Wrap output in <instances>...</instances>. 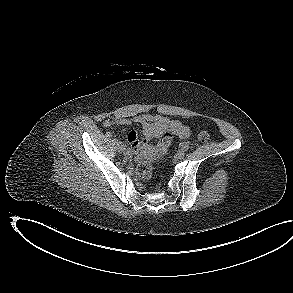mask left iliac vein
Wrapping results in <instances>:
<instances>
[{
  "mask_svg": "<svg viewBox=\"0 0 293 293\" xmlns=\"http://www.w3.org/2000/svg\"><path fill=\"white\" fill-rule=\"evenodd\" d=\"M184 156H185L184 151H178L177 154H176V157H177L178 159H183Z\"/></svg>",
  "mask_w": 293,
  "mask_h": 293,
  "instance_id": "obj_1",
  "label": "left iliac vein"
}]
</instances>
